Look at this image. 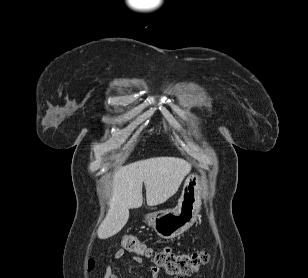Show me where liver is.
I'll use <instances>...</instances> for the list:
<instances>
[{
  "label": "liver",
  "mask_w": 308,
  "mask_h": 278,
  "mask_svg": "<svg viewBox=\"0 0 308 278\" xmlns=\"http://www.w3.org/2000/svg\"><path fill=\"white\" fill-rule=\"evenodd\" d=\"M190 169L187 161L175 157H154L119 167L113 175L109 209L98 228V238L117 234L129 219V209L141 207L143 183L147 205H160L175 195Z\"/></svg>",
  "instance_id": "obj_1"
}]
</instances>
